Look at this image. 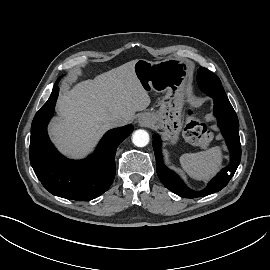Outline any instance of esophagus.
<instances>
[{
	"mask_svg": "<svg viewBox=\"0 0 270 270\" xmlns=\"http://www.w3.org/2000/svg\"><path fill=\"white\" fill-rule=\"evenodd\" d=\"M142 124L144 125H148L149 124V121L148 120H145V121H141Z\"/></svg>",
	"mask_w": 270,
	"mask_h": 270,
	"instance_id": "esophagus-1",
	"label": "esophagus"
}]
</instances>
